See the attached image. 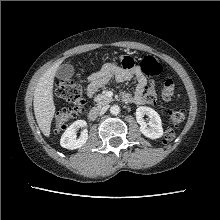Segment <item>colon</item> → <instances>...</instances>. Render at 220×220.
Returning a JSON list of instances; mask_svg holds the SVG:
<instances>
[{
    "mask_svg": "<svg viewBox=\"0 0 220 220\" xmlns=\"http://www.w3.org/2000/svg\"><path fill=\"white\" fill-rule=\"evenodd\" d=\"M132 64L129 57H123L120 65L128 67ZM142 72L148 76H157L162 71L161 64L152 56H146L141 62ZM56 95L70 105V108L60 111L55 117V129L61 131L70 123L75 121L84 110L83 85L71 80L58 82L55 88ZM175 95V84L172 80H167L161 90V97L164 101H170ZM145 103L152 104L155 96L152 93L145 94ZM182 110L176 109L169 113L168 121L171 125H178L184 120ZM175 138L173 128H168L164 133V141L170 142Z\"/></svg>",
    "mask_w": 220,
    "mask_h": 220,
    "instance_id": "obj_1",
    "label": "colon"
}]
</instances>
